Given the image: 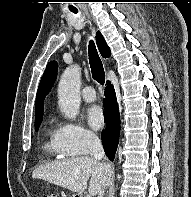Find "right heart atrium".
I'll list each match as a JSON object with an SVG mask.
<instances>
[{"label": "right heart atrium", "mask_w": 191, "mask_h": 197, "mask_svg": "<svg viewBox=\"0 0 191 197\" xmlns=\"http://www.w3.org/2000/svg\"><path fill=\"white\" fill-rule=\"evenodd\" d=\"M98 141L97 135L78 123L65 122L58 127L60 150L67 156L86 154Z\"/></svg>", "instance_id": "right-heart-atrium-1"}]
</instances>
